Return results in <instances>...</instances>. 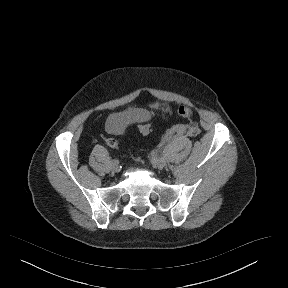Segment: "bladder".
Wrapping results in <instances>:
<instances>
[{"label": "bladder", "mask_w": 288, "mask_h": 288, "mask_svg": "<svg viewBox=\"0 0 288 288\" xmlns=\"http://www.w3.org/2000/svg\"><path fill=\"white\" fill-rule=\"evenodd\" d=\"M151 113L148 110L129 109L121 114L115 115L109 119V125L112 128L120 129L127 123H143L150 118Z\"/></svg>", "instance_id": "bladder-1"}]
</instances>
